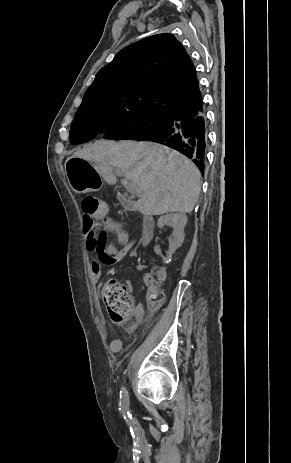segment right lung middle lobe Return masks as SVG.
Instances as JSON below:
<instances>
[{
  "instance_id": "obj_1",
  "label": "right lung middle lobe",
  "mask_w": 291,
  "mask_h": 463,
  "mask_svg": "<svg viewBox=\"0 0 291 463\" xmlns=\"http://www.w3.org/2000/svg\"><path fill=\"white\" fill-rule=\"evenodd\" d=\"M165 115L127 102L78 109L70 128L71 144L84 143L99 133L105 138L136 139L160 126Z\"/></svg>"
}]
</instances>
